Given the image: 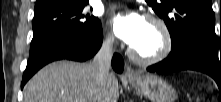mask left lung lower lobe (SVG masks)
I'll list each match as a JSON object with an SVG mask.
<instances>
[{"mask_svg": "<svg viewBox=\"0 0 221 102\" xmlns=\"http://www.w3.org/2000/svg\"><path fill=\"white\" fill-rule=\"evenodd\" d=\"M196 70L210 75L221 89V57L208 44L189 39L171 48L169 56L147 68L150 72Z\"/></svg>", "mask_w": 221, "mask_h": 102, "instance_id": "obj_1", "label": "left lung lower lobe"}]
</instances>
